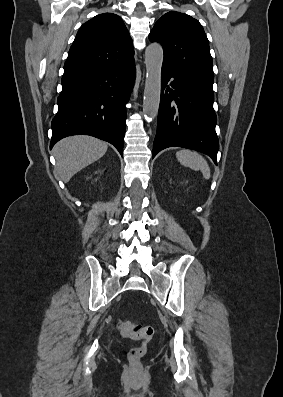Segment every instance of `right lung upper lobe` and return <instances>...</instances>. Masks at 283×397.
Instances as JSON below:
<instances>
[{
  "label": "right lung upper lobe",
  "instance_id": "obj_1",
  "mask_svg": "<svg viewBox=\"0 0 283 397\" xmlns=\"http://www.w3.org/2000/svg\"><path fill=\"white\" fill-rule=\"evenodd\" d=\"M132 39L122 19L112 13L84 23L69 50L62 80L122 66L134 60Z\"/></svg>",
  "mask_w": 283,
  "mask_h": 397
}]
</instances>
